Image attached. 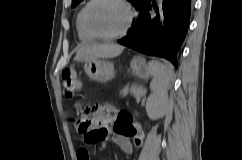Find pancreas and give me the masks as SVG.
<instances>
[{"label":"pancreas","mask_w":242,"mask_h":160,"mask_svg":"<svg viewBox=\"0 0 242 160\" xmlns=\"http://www.w3.org/2000/svg\"><path fill=\"white\" fill-rule=\"evenodd\" d=\"M128 93H131L139 101L144 92L141 87L133 84L130 87L125 86L123 90L120 92V94H122L123 96H126Z\"/></svg>","instance_id":"cf45deb5"}]
</instances>
